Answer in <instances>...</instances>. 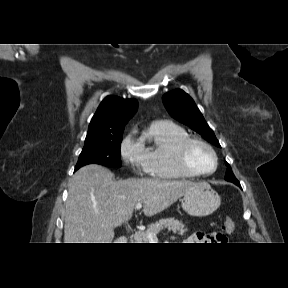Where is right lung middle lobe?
Returning a JSON list of instances; mask_svg holds the SVG:
<instances>
[{
	"label": "right lung middle lobe",
	"mask_w": 288,
	"mask_h": 288,
	"mask_svg": "<svg viewBox=\"0 0 288 288\" xmlns=\"http://www.w3.org/2000/svg\"><path fill=\"white\" fill-rule=\"evenodd\" d=\"M122 133L109 134L104 137L85 141L75 170L80 167L96 163L109 167H120V147Z\"/></svg>",
	"instance_id": "right-lung-middle-lobe-1"
}]
</instances>
